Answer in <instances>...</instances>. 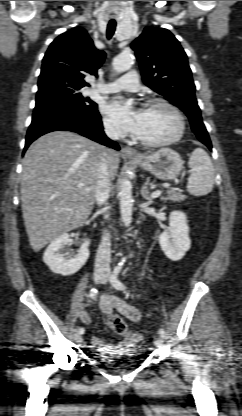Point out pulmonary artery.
I'll use <instances>...</instances> for the list:
<instances>
[{
	"label": "pulmonary artery",
	"instance_id": "e3ab8cb5",
	"mask_svg": "<svg viewBox=\"0 0 242 416\" xmlns=\"http://www.w3.org/2000/svg\"><path fill=\"white\" fill-rule=\"evenodd\" d=\"M140 89V82L135 71H129L124 76L99 87L100 92L115 93L119 91L136 92Z\"/></svg>",
	"mask_w": 242,
	"mask_h": 416
}]
</instances>
